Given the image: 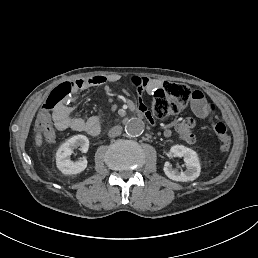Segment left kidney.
Instances as JSON below:
<instances>
[{
	"label": "left kidney",
	"mask_w": 258,
	"mask_h": 258,
	"mask_svg": "<svg viewBox=\"0 0 258 258\" xmlns=\"http://www.w3.org/2000/svg\"><path fill=\"white\" fill-rule=\"evenodd\" d=\"M170 155L174 157H183L186 165L185 171L173 169L169 162L164 164V172L166 176L174 181H193L199 177L201 166L197 153L184 145H174L170 149Z\"/></svg>",
	"instance_id": "5707ae66"
}]
</instances>
